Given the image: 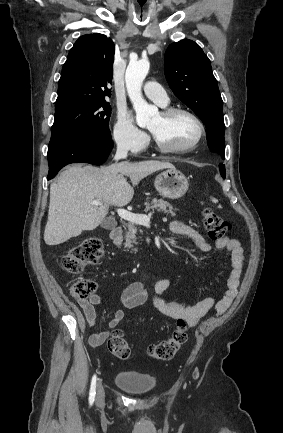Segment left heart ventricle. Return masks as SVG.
Instances as JSON below:
<instances>
[{
    "label": "left heart ventricle",
    "instance_id": "1",
    "mask_svg": "<svg viewBox=\"0 0 283 433\" xmlns=\"http://www.w3.org/2000/svg\"><path fill=\"white\" fill-rule=\"evenodd\" d=\"M149 129L162 142L173 148H182L197 136L196 122L187 114H179L164 121L161 114L150 124Z\"/></svg>",
    "mask_w": 283,
    "mask_h": 433
}]
</instances>
